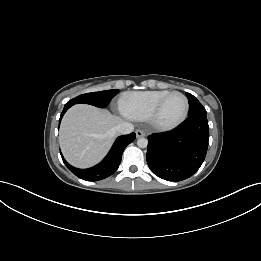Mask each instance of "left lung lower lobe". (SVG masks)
<instances>
[{"mask_svg": "<svg viewBox=\"0 0 261 261\" xmlns=\"http://www.w3.org/2000/svg\"><path fill=\"white\" fill-rule=\"evenodd\" d=\"M208 140L206 114L189 116L171 131L148 136V166L156 176L164 180H185L202 165Z\"/></svg>", "mask_w": 261, "mask_h": 261, "instance_id": "0a47b994", "label": "left lung lower lobe"}]
</instances>
